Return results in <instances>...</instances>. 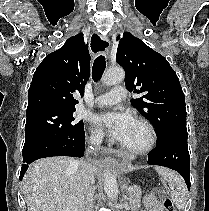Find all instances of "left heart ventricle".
<instances>
[{
	"instance_id": "left-heart-ventricle-1",
	"label": "left heart ventricle",
	"mask_w": 209,
	"mask_h": 211,
	"mask_svg": "<svg viewBox=\"0 0 209 211\" xmlns=\"http://www.w3.org/2000/svg\"><path fill=\"white\" fill-rule=\"evenodd\" d=\"M146 141L145 129L138 123H134L130 133L126 139L122 142L127 147L136 148L143 145Z\"/></svg>"
}]
</instances>
